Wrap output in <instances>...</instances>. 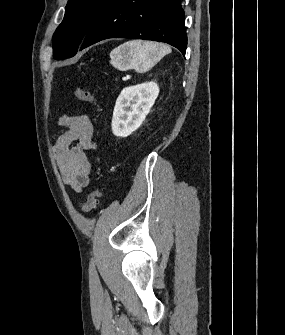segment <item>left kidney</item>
Masks as SVG:
<instances>
[{
    "label": "left kidney",
    "mask_w": 285,
    "mask_h": 335,
    "mask_svg": "<svg viewBox=\"0 0 285 335\" xmlns=\"http://www.w3.org/2000/svg\"><path fill=\"white\" fill-rule=\"evenodd\" d=\"M159 94L158 84L145 82L124 88L118 96L112 118L114 136L127 138L138 130Z\"/></svg>",
    "instance_id": "5707ae66"
}]
</instances>
